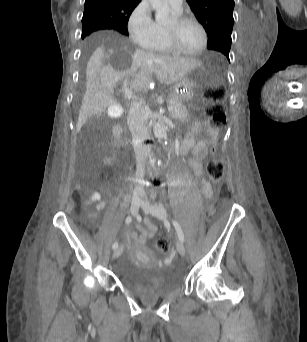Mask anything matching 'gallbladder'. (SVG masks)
Masks as SVG:
<instances>
[{
	"label": "gallbladder",
	"instance_id": "bac80fb5",
	"mask_svg": "<svg viewBox=\"0 0 307 342\" xmlns=\"http://www.w3.org/2000/svg\"><path fill=\"white\" fill-rule=\"evenodd\" d=\"M122 105L120 103H114L113 106L109 109L110 118H119L121 113Z\"/></svg>",
	"mask_w": 307,
	"mask_h": 342
}]
</instances>
